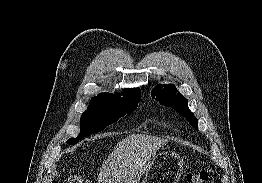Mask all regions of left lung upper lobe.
Wrapping results in <instances>:
<instances>
[{"instance_id": "left-lung-upper-lobe-1", "label": "left lung upper lobe", "mask_w": 262, "mask_h": 183, "mask_svg": "<svg viewBox=\"0 0 262 183\" xmlns=\"http://www.w3.org/2000/svg\"><path fill=\"white\" fill-rule=\"evenodd\" d=\"M177 91L172 84L164 85V87L163 85H158L151 94L156 97L160 104L176 109L193 127L197 128L198 122L188 108V100L180 93H177Z\"/></svg>"}]
</instances>
